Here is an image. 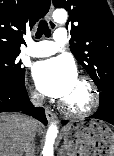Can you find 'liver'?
Returning a JSON list of instances; mask_svg holds the SVG:
<instances>
[{
    "label": "liver",
    "mask_w": 114,
    "mask_h": 156,
    "mask_svg": "<svg viewBox=\"0 0 114 156\" xmlns=\"http://www.w3.org/2000/svg\"><path fill=\"white\" fill-rule=\"evenodd\" d=\"M41 128V123L33 118L15 113L0 114V156H22Z\"/></svg>",
    "instance_id": "liver-1"
}]
</instances>
